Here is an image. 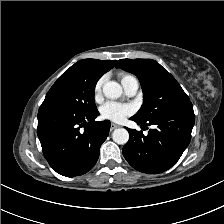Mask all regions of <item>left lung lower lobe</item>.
Wrapping results in <instances>:
<instances>
[{
    "mask_svg": "<svg viewBox=\"0 0 224 224\" xmlns=\"http://www.w3.org/2000/svg\"><path fill=\"white\" fill-rule=\"evenodd\" d=\"M137 124L156 125L147 136L141 131L128 129L129 141L123 147L127 162L144 173H161L171 168L181 157L191 140L195 122L192 112H181L142 122L131 117Z\"/></svg>",
    "mask_w": 224,
    "mask_h": 224,
    "instance_id": "obj_1",
    "label": "left lung lower lobe"
}]
</instances>
